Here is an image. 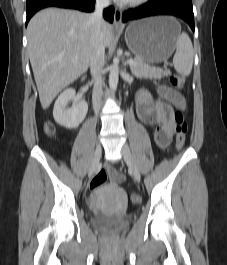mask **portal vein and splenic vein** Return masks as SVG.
Here are the masks:
<instances>
[{"label": "portal vein and splenic vein", "mask_w": 227, "mask_h": 265, "mask_svg": "<svg viewBox=\"0 0 227 265\" xmlns=\"http://www.w3.org/2000/svg\"><path fill=\"white\" fill-rule=\"evenodd\" d=\"M128 63L130 64V65H135L136 63L134 62V60H132V59H129L128 60Z\"/></svg>", "instance_id": "portal-vein-and-splenic-vein-1"}]
</instances>
